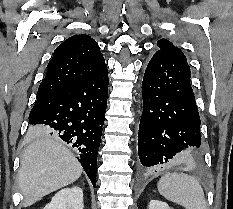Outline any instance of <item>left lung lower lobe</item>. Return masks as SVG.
Here are the masks:
<instances>
[{
	"mask_svg": "<svg viewBox=\"0 0 233 209\" xmlns=\"http://www.w3.org/2000/svg\"><path fill=\"white\" fill-rule=\"evenodd\" d=\"M138 153L144 169L201 161L200 116L186 60L156 52L142 82Z\"/></svg>",
	"mask_w": 233,
	"mask_h": 209,
	"instance_id": "left-lung-lower-lobe-1",
	"label": "left lung lower lobe"
}]
</instances>
